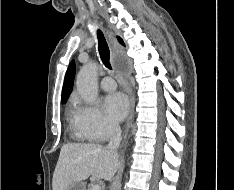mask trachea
Instances as JSON below:
<instances>
[{"instance_id": "trachea-1", "label": "trachea", "mask_w": 234, "mask_h": 190, "mask_svg": "<svg viewBox=\"0 0 234 190\" xmlns=\"http://www.w3.org/2000/svg\"><path fill=\"white\" fill-rule=\"evenodd\" d=\"M97 38H98V43H99V54H100L101 60L106 68L112 70V67L110 64V50L106 42V39L100 30H97Z\"/></svg>"}]
</instances>
